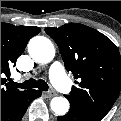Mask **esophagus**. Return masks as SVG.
Returning <instances> with one entry per match:
<instances>
[{
    "label": "esophagus",
    "instance_id": "34e87169",
    "mask_svg": "<svg viewBox=\"0 0 121 121\" xmlns=\"http://www.w3.org/2000/svg\"><path fill=\"white\" fill-rule=\"evenodd\" d=\"M44 95L47 97V98H51L54 96V93L53 92H45Z\"/></svg>",
    "mask_w": 121,
    "mask_h": 121
}]
</instances>
